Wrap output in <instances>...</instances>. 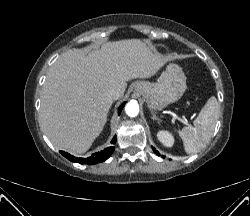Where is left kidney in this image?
I'll use <instances>...</instances> for the list:
<instances>
[{
    "label": "left kidney",
    "instance_id": "1",
    "mask_svg": "<svg viewBox=\"0 0 250 216\" xmlns=\"http://www.w3.org/2000/svg\"><path fill=\"white\" fill-rule=\"evenodd\" d=\"M158 140L166 147H171L174 143V138L168 131L162 130L157 133Z\"/></svg>",
    "mask_w": 250,
    "mask_h": 216
}]
</instances>
